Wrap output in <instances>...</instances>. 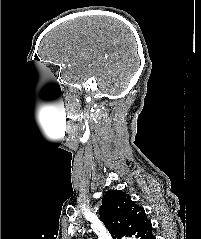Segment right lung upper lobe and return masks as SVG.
<instances>
[{
  "label": "right lung upper lobe",
  "instance_id": "right-lung-upper-lobe-1",
  "mask_svg": "<svg viewBox=\"0 0 201 239\" xmlns=\"http://www.w3.org/2000/svg\"><path fill=\"white\" fill-rule=\"evenodd\" d=\"M99 213L114 239H152V224L144 209L123 191L106 192Z\"/></svg>",
  "mask_w": 201,
  "mask_h": 239
}]
</instances>
